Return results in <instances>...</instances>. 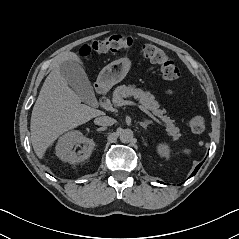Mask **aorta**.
<instances>
[{
  "label": "aorta",
  "instance_id": "obj_1",
  "mask_svg": "<svg viewBox=\"0 0 239 239\" xmlns=\"http://www.w3.org/2000/svg\"><path fill=\"white\" fill-rule=\"evenodd\" d=\"M133 137H134V133L131 129L127 128V129H123L121 132H120V140L121 142L123 143H129L133 140Z\"/></svg>",
  "mask_w": 239,
  "mask_h": 239
}]
</instances>
